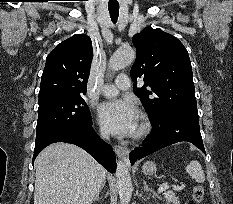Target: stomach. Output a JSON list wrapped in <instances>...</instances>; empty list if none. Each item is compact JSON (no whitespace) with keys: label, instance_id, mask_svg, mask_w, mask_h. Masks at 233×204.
Segmentation results:
<instances>
[{"label":"stomach","instance_id":"stomach-1","mask_svg":"<svg viewBox=\"0 0 233 204\" xmlns=\"http://www.w3.org/2000/svg\"><path fill=\"white\" fill-rule=\"evenodd\" d=\"M143 171H144V173L151 175L156 171V165L153 162H148L145 170H143Z\"/></svg>","mask_w":233,"mask_h":204}]
</instances>
